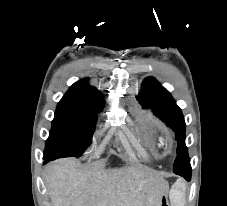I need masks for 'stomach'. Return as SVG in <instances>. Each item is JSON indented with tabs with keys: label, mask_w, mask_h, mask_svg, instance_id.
I'll return each mask as SVG.
<instances>
[{
	"label": "stomach",
	"mask_w": 227,
	"mask_h": 206,
	"mask_svg": "<svg viewBox=\"0 0 227 206\" xmlns=\"http://www.w3.org/2000/svg\"><path fill=\"white\" fill-rule=\"evenodd\" d=\"M162 196L163 197H160V199H159L160 202H162L160 206H162V205L163 206H169V203L167 202L168 201V198L166 197L167 196V193L166 192H163L162 193Z\"/></svg>",
	"instance_id": "1"
}]
</instances>
